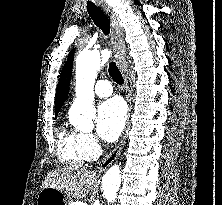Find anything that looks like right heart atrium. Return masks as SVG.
Segmentation results:
<instances>
[{
  "mask_svg": "<svg viewBox=\"0 0 222 205\" xmlns=\"http://www.w3.org/2000/svg\"><path fill=\"white\" fill-rule=\"evenodd\" d=\"M82 145L89 159H93L98 155L99 144L93 134H81Z\"/></svg>",
  "mask_w": 222,
  "mask_h": 205,
  "instance_id": "d8ad5b80",
  "label": "right heart atrium"
}]
</instances>
